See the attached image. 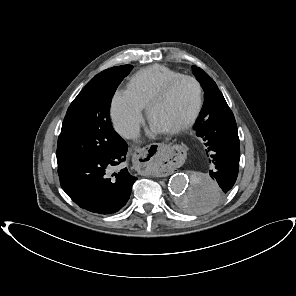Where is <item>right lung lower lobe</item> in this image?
Listing matches in <instances>:
<instances>
[{
	"instance_id": "right-lung-lower-lobe-1",
	"label": "right lung lower lobe",
	"mask_w": 296,
	"mask_h": 296,
	"mask_svg": "<svg viewBox=\"0 0 296 296\" xmlns=\"http://www.w3.org/2000/svg\"><path fill=\"white\" fill-rule=\"evenodd\" d=\"M128 145L121 150L58 167L60 184L78 206L96 214H113L129 200L137 180L127 168L110 175V170L125 160Z\"/></svg>"
}]
</instances>
